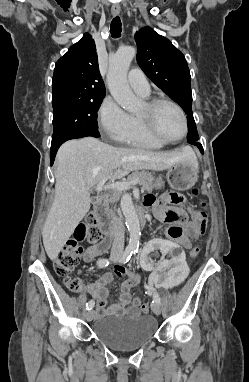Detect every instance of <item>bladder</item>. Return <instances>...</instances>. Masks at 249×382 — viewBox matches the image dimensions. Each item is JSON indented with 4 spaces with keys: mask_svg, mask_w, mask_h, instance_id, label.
Masks as SVG:
<instances>
[{
    "mask_svg": "<svg viewBox=\"0 0 249 382\" xmlns=\"http://www.w3.org/2000/svg\"><path fill=\"white\" fill-rule=\"evenodd\" d=\"M94 334L112 349L127 351L141 348L156 334L157 322L150 315L109 316L97 320Z\"/></svg>",
    "mask_w": 249,
    "mask_h": 382,
    "instance_id": "1",
    "label": "bladder"
}]
</instances>
